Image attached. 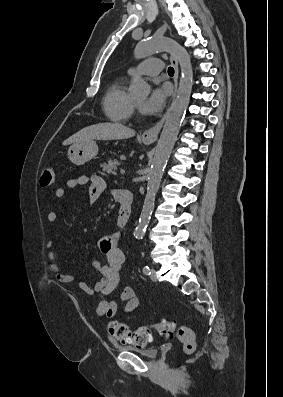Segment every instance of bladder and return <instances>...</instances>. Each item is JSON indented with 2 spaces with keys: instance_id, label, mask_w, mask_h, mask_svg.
Listing matches in <instances>:
<instances>
[{
  "instance_id": "bladder-1",
  "label": "bladder",
  "mask_w": 283,
  "mask_h": 397,
  "mask_svg": "<svg viewBox=\"0 0 283 397\" xmlns=\"http://www.w3.org/2000/svg\"><path fill=\"white\" fill-rule=\"evenodd\" d=\"M118 348L127 352L136 353L146 358H154L158 354V349L156 347L138 348L132 345H121L118 346Z\"/></svg>"
}]
</instances>
